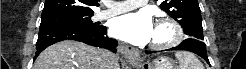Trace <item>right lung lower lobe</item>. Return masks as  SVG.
<instances>
[{"instance_id": "1", "label": "right lung lower lobe", "mask_w": 246, "mask_h": 69, "mask_svg": "<svg viewBox=\"0 0 246 69\" xmlns=\"http://www.w3.org/2000/svg\"><path fill=\"white\" fill-rule=\"evenodd\" d=\"M106 27L98 26L95 28H84L77 26L47 25L40 26L37 51L35 58L48 46L63 40H76L86 44L103 47L113 52L116 51V40L108 38Z\"/></svg>"}]
</instances>
